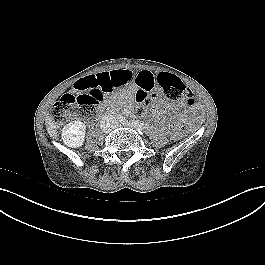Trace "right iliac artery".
Here are the masks:
<instances>
[{"label": "right iliac artery", "mask_w": 265, "mask_h": 265, "mask_svg": "<svg viewBox=\"0 0 265 265\" xmlns=\"http://www.w3.org/2000/svg\"><path fill=\"white\" fill-rule=\"evenodd\" d=\"M123 116H121V115H118V117H117V121H119V122H121V121H123Z\"/></svg>", "instance_id": "obj_1"}]
</instances>
